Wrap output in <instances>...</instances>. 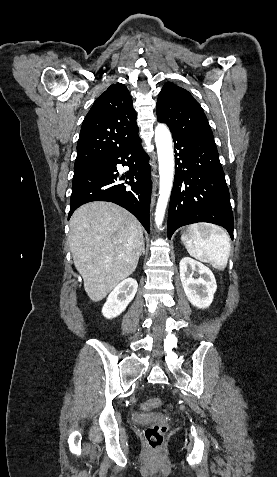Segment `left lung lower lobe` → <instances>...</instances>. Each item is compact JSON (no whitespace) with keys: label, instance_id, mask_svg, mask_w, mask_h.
<instances>
[{"label":"left lung lower lobe","instance_id":"1","mask_svg":"<svg viewBox=\"0 0 277 477\" xmlns=\"http://www.w3.org/2000/svg\"><path fill=\"white\" fill-rule=\"evenodd\" d=\"M172 135L176 170L168 238L181 226L209 222L224 227L233 239L230 195L213 134L173 131Z\"/></svg>","mask_w":277,"mask_h":477}]
</instances>
